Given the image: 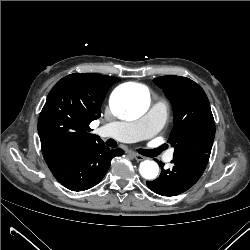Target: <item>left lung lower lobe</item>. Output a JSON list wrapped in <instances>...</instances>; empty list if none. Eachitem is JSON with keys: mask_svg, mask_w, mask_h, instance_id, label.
<instances>
[{"mask_svg": "<svg viewBox=\"0 0 250 250\" xmlns=\"http://www.w3.org/2000/svg\"><path fill=\"white\" fill-rule=\"evenodd\" d=\"M209 154H189L174 158L173 168H161L160 176L154 181H147V186L155 193L175 196L192 187L201 177L209 160ZM160 165H164L159 162Z\"/></svg>", "mask_w": 250, "mask_h": 250, "instance_id": "left-lung-lower-lobe-1", "label": "left lung lower lobe"}]
</instances>
